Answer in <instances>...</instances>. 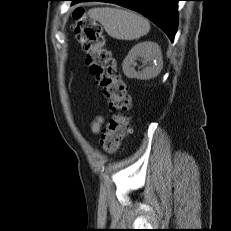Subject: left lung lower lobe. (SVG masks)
<instances>
[{"mask_svg":"<svg viewBox=\"0 0 231 231\" xmlns=\"http://www.w3.org/2000/svg\"><path fill=\"white\" fill-rule=\"evenodd\" d=\"M73 4L84 1L115 3L135 10L158 25L173 41L177 31V3L180 0H70Z\"/></svg>","mask_w":231,"mask_h":231,"instance_id":"left-lung-lower-lobe-1","label":"left lung lower lobe"}]
</instances>
